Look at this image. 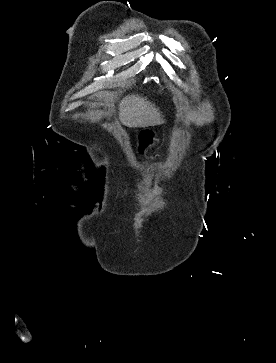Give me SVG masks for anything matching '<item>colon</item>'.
I'll use <instances>...</instances> for the list:
<instances>
[{
	"label": "colon",
	"mask_w": 276,
	"mask_h": 363,
	"mask_svg": "<svg viewBox=\"0 0 276 363\" xmlns=\"http://www.w3.org/2000/svg\"><path fill=\"white\" fill-rule=\"evenodd\" d=\"M152 137H153V135L149 131H143L141 133L140 145H141L142 149H144L150 145V143L152 142Z\"/></svg>",
	"instance_id": "5ec220e1"
}]
</instances>
